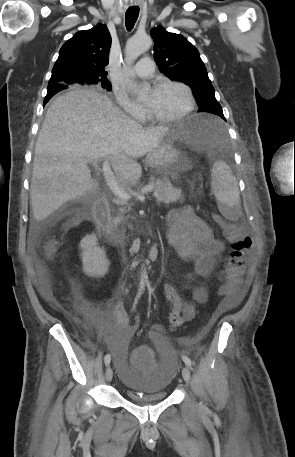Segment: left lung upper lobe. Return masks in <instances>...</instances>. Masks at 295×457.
I'll return each instance as SVG.
<instances>
[{"instance_id": "left-lung-upper-lobe-1", "label": "left lung upper lobe", "mask_w": 295, "mask_h": 457, "mask_svg": "<svg viewBox=\"0 0 295 457\" xmlns=\"http://www.w3.org/2000/svg\"><path fill=\"white\" fill-rule=\"evenodd\" d=\"M150 34L160 71L169 79L188 85L200 104V111L216 113L225 119L199 51L184 36L162 27L153 28Z\"/></svg>"}]
</instances>
